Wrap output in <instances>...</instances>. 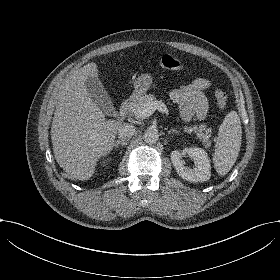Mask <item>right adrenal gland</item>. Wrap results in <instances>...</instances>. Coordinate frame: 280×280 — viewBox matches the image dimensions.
<instances>
[{"mask_svg": "<svg viewBox=\"0 0 280 280\" xmlns=\"http://www.w3.org/2000/svg\"><path fill=\"white\" fill-rule=\"evenodd\" d=\"M119 145L125 146V145H127V142H125V141H120V140L114 141L113 146H114L115 148H118Z\"/></svg>", "mask_w": 280, "mask_h": 280, "instance_id": "1", "label": "right adrenal gland"}]
</instances>
